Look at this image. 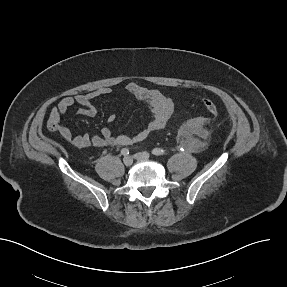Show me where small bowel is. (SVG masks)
<instances>
[{
	"label": "small bowel",
	"mask_w": 287,
	"mask_h": 287,
	"mask_svg": "<svg viewBox=\"0 0 287 287\" xmlns=\"http://www.w3.org/2000/svg\"><path fill=\"white\" fill-rule=\"evenodd\" d=\"M125 90L129 96L148 105L152 113V119L145 129L134 135H114L112 130L108 127L102 128L99 134H74L68 127L60 124V134L62 138L71 145L79 148H86L89 146H129L143 141L153 132L166 126L174 110V102L171 97L159 90L148 89L135 82L128 83ZM110 93V88H99L85 94L64 97L59 101L58 105L51 110V120L59 123L61 117L75 104L80 105V108L77 111L79 115L94 117L97 111L93 105V101ZM115 120L116 115L111 114L109 116V121L113 122Z\"/></svg>",
	"instance_id": "small-bowel-1"
}]
</instances>
